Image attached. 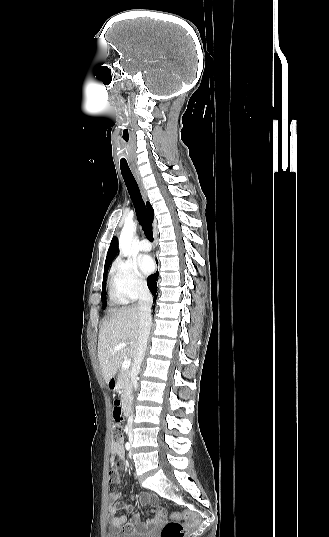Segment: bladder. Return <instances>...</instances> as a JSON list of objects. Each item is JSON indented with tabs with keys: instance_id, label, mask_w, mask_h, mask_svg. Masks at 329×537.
<instances>
[{
	"instance_id": "31cf9c89",
	"label": "bladder",
	"mask_w": 329,
	"mask_h": 537,
	"mask_svg": "<svg viewBox=\"0 0 329 537\" xmlns=\"http://www.w3.org/2000/svg\"><path fill=\"white\" fill-rule=\"evenodd\" d=\"M106 537H153L150 533L129 534L116 530H109Z\"/></svg>"
}]
</instances>
